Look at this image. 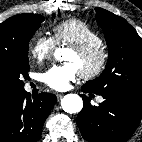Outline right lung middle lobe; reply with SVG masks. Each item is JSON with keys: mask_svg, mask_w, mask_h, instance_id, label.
Masks as SVG:
<instances>
[{"mask_svg": "<svg viewBox=\"0 0 142 142\" xmlns=\"http://www.w3.org/2000/svg\"><path fill=\"white\" fill-rule=\"evenodd\" d=\"M38 14H26L17 32L0 44V91L15 94L24 90L23 79L28 78L29 41L44 21Z\"/></svg>", "mask_w": 142, "mask_h": 142, "instance_id": "1", "label": "right lung middle lobe"}]
</instances>
